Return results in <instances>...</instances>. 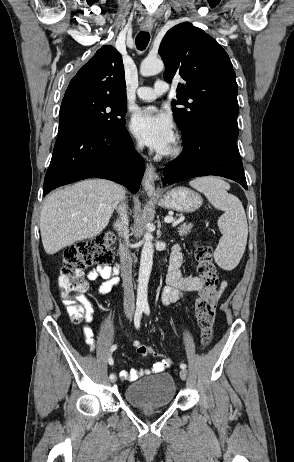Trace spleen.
Here are the masks:
<instances>
[{
    "instance_id": "obj_1",
    "label": "spleen",
    "mask_w": 294,
    "mask_h": 462,
    "mask_svg": "<svg viewBox=\"0 0 294 462\" xmlns=\"http://www.w3.org/2000/svg\"><path fill=\"white\" fill-rule=\"evenodd\" d=\"M190 186L202 192L208 201L224 214L218 220L222 237L214 252L217 265L234 269L245 251L248 225L241 201L227 191L230 185L219 177L206 176L190 181Z\"/></svg>"
}]
</instances>
